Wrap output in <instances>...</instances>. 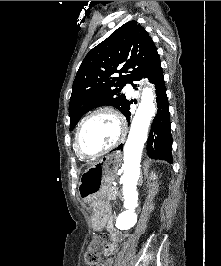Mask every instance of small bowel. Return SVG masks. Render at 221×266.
<instances>
[{
	"mask_svg": "<svg viewBox=\"0 0 221 266\" xmlns=\"http://www.w3.org/2000/svg\"><path fill=\"white\" fill-rule=\"evenodd\" d=\"M109 229L112 231V237H113V243L109 244L106 247L105 253L107 255H111L114 250H115V246L119 243H121L126 237L127 235L122 234L121 232H119L113 224L109 225ZM112 264V259H108L105 263L100 264V266H111Z\"/></svg>",
	"mask_w": 221,
	"mask_h": 266,
	"instance_id": "c3829d8e",
	"label": "small bowel"
}]
</instances>
